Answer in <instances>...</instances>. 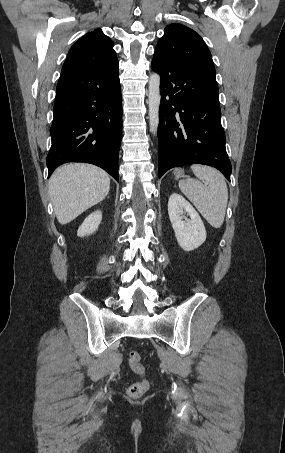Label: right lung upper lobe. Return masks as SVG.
<instances>
[{
    "instance_id": "1",
    "label": "right lung upper lobe",
    "mask_w": 285,
    "mask_h": 453,
    "mask_svg": "<svg viewBox=\"0 0 285 453\" xmlns=\"http://www.w3.org/2000/svg\"><path fill=\"white\" fill-rule=\"evenodd\" d=\"M118 68L113 42L96 29L81 37L69 50L62 71L106 72Z\"/></svg>"
}]
</instances>
